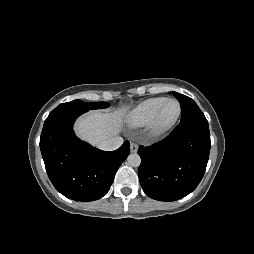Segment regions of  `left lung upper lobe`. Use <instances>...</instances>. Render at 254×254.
<instances>
[{
	"label": "left lung upper lobe",
	"instance_id": "5c2ea615",
	"mask_svg": "<svg viewBox=\"0 0 254 254\" xmlns=\"http://www.w3.org/2000/svg\"><path fill=\"white\" fill-rule=\"evenodd\" d=\"M173 95L179 100L180 106H181V120L180 123H185L189 121H207L204 114L200 110V108L197 106V104L192 100L191 98L180 94L173 92Z\"/></svg>",
	"mask_w": 254,
	"mask_h": 254
}]
</instances>
